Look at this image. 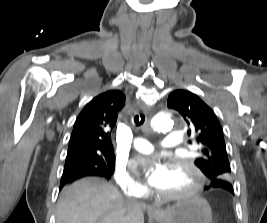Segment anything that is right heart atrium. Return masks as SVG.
Wrapping results in <instances>:
<instances>
[{"label":"right heart atrium","instance_id":"d8ad5b80","mask_svg":"<svg viewBox=\"0 0 267 223\" xmlns=\"http://www.w3.org/2000/svg\"><path fill=\"white\" fill-rule=\"evenodd\" d=\"M114 179L120 189L128 196L139 197L145 192L144 186L134 178L124 163L117 162L114 169Z\"/></svg>","mask_w":267,"mask_h":223}]
</instances>
